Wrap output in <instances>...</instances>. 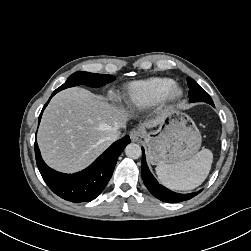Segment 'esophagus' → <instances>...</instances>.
Instances as JSON below:
<instances>
[{"label": "esophagus", "instance_id": "esophagus-1", "mask_svg": "<svg viewBox=\"0 0 251 251\" xmlns=\"http://www.w3.org/2000/svg\"><path fill=\"white\" fill-rule=\"evenodd\" d=\"M142 136V133L140 130H132L130 132V138L132 141L136 142L140 139V137Z\"/></svg>", "mask_w": 251, "mask_h": 251}]
</instances>
